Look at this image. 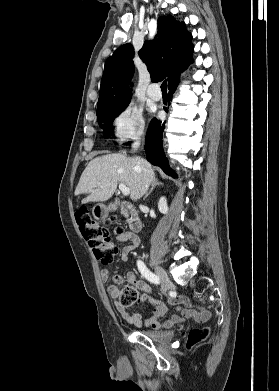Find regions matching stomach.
I'll return each mask as SVG.
<instances>
[{
    "label": "stomach",
    "mask_w": 279,
    "mask_h": 391,
    "mask_svg": "<svg viewBox=\"0 0 279 391\" xmlns=\"http://www.w3.org/2000/svg\"><path fill=\"white\" fill-rule=\"evenodd\" d=\"M108 212H109V208L106 207L105 205L103 204H97L93 207V210H92V214L93 216L100 220V219H104L107 217L108 215Z\"/></svg>",
    "instance_id": "0dacf381"
}]
</instances>
